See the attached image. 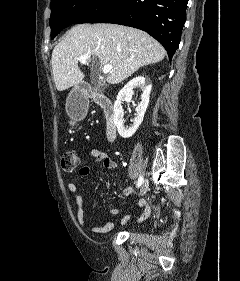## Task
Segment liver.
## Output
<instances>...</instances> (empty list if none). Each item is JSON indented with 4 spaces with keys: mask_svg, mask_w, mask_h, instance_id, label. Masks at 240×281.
<instances>
[{
    "mask_svg": "<svg viewBox=\"0 0 240 281\" xmlns=\"http://www.w3.org/2000/svg\"><path fill=\"white\" fill-rule=\"evenodd\" d=\"M98 58L101 65L113 68L106 80L118 84L140 67L160 62L165 49L153 37L136 28L116 24H78L54 47L51 64L58 91L82 82L79 57Z\"/></svg>",
    "mask_w": 240,
    "mask_h": 281,
    "instance_id": "liver-1",
    "label": "liver"
}]
</instances>
